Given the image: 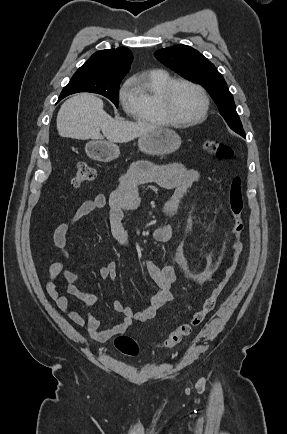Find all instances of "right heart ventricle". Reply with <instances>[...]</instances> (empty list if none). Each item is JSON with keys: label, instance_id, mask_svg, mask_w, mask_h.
Instances as JSON below:
<instances>
[{"label": "right heart ventricle", "instance_id": "e07e8e85", "mask_svg": "<svg viewBox=\"0 0 287 434\" xmlns=\"http://www.w3.org/2000/svg\"><path fill=\"white\" fill-rule=\"evenodd\" d=\"M165 70L154 69L145 71L133 78L135 101L129 113L138 121L168 125L160 106V97L164 87L172 80Z\"/></svg>", "mask_w": 287, "mask_h": 434}]
</instances>
